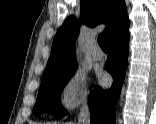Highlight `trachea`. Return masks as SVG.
Instances as JSON below:
<instances>
[{
  "mask_svg": "<svg viewBox=\"0 0 156 124\" xmlns=\"http://www.w3.org/2000/svg\"><path fill=\"white\" fill-rule=\"evenodd\" d=\"M97 41L102 50H108V37L105 32L99 34Z\"/></svg>",
  "mask_w": 156,
  "mask_h": 124,
  "instance_id": "obj_1",
  "label": "trachea"
}]
</instances>
